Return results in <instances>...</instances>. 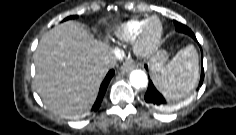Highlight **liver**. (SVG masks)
I'll return each instance as SVG.
<instances>
[{
	"label": "liver",
	"mask_w": 236,
	"mask_h": 135,
	"mask_svg": "<svg viewBox=\"0 0 236 135\" xmlns=\"http://www.w3.org/2000/svg\"><path fill=\"white\" fill-rule=\"evenodd\" d=\"M109 45L90 36L75 21L50 29L34 53V86L51 111L73 115L94 101L107 73Z\"/></svg>",
	"instance_id": "1"
}]
</instances>
